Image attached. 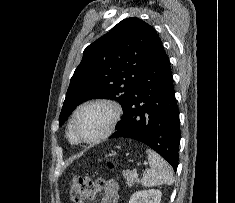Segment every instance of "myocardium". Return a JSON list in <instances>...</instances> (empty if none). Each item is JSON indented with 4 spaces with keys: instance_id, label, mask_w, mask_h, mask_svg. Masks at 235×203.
Wrapping results in <instances>:
<instances>
[{
    "instance_id": "1",
    "label": "myocardium",
    "mask_w": 235,
    "mask_h": 203,
    "mask_svg": "<svg viewBox=\"0 0 235 203\" xmlns=\"http://www.w3.org/2000/svg\"><path fill=\"white\" fill-rule=\"evenodd\" d=\"M94 104H103V105L109 106L113 112V115H112V119L110 121L109 126L101 135L93 139H86V138H83L78 133L77 128H76V120H77L78 114L80 113L82 109H84L87 106L94 105ZM122 114H123V110H122L121 105L112 99H108V98L91 99L82 103L74 111L72 118H71V122H70V128H71L73 136L78 142L85 143V144H95L106 139L115 131L119 121L121 120Z\"/></svg>"
}]
</instances>
